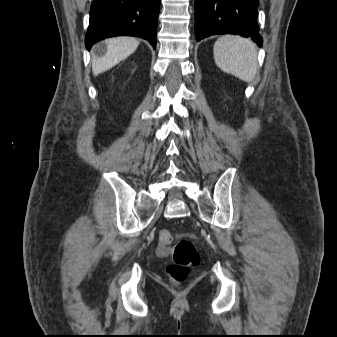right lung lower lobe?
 Wrapping results in <instances>:
<instances>
[{
  "mask_svg": "<svg viewBox=\"0 0 337 337\" xmlns=\"http://www.w3.org/2000/svg\"><path fill=\"white\" fill-rule=\"evenodd\" d=\"M160 0H93L86 48L105 38L137 36L156 48Z\"/></svg>",
  "mask_w": 337,
  "mask_h": 337,
  "instance_id": "right-lung-lower-lobe-1",
  "label": "right lung lower lobe"
}]
</instances>
